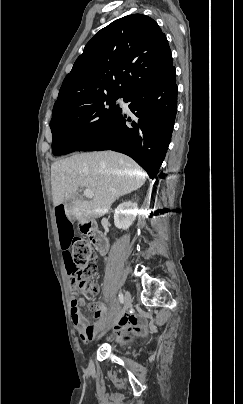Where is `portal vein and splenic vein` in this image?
I'll return each mask as SVG.
<instances>
[{"mask_svg": "<svg viewBox=\"0 0 243 404\" xmlns=\"http://www.w3.org/2000/svg\"><path fill=\"white\" fill-rule=\"evenodd\" d=\"M84 196L85 198H93L94 194L91 192V190H89V188H86V190H84Z\"/></svg>", "mask_w": 243, "mask_h": 404, "instance_id": "1", "label": "portal vein and splenic vein"}]
</instances>
